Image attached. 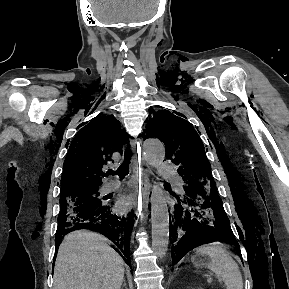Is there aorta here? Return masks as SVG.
<instances>
[{"label":"aorta","mask_w":289,"mask_h":289,"mask_svg":"<svg viewBox=\"0 0 289 289\" xmlns=\"http://www.w3.org/2000/svg\"><path fill=\"white\" fill-rule=\"evenodd\" d=\"M146 161L157 166L165 159V147L157 139H147L143 143ZM152 249L162 259L169 245V213L162 186L155 182L151 194Z\"/></svg>","instance_id":"obj_1"}]
</instances>
